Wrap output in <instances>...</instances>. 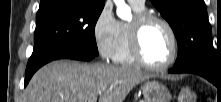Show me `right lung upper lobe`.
I'll return each mask as SVG.
<instances>
[{
	"mask_svg": "<svg viewBox=\"0 0 221 102\" xmlns=\"http://www.w3.org/2000/svg\"><path fill=\"white\" fill-rule=\"evenodd\" d=\"M59 1H75V0H41L40 7H44ZM83 1L88 2L92 6H102L105 4L104 0H83Z\"/></svg>",
	"mask_w": 221,
	"mask_h": 102,
	"instance_id": "right-lung-upper-lobe-1",
	"label": "right lung upper lobe"
}]
</instances>
